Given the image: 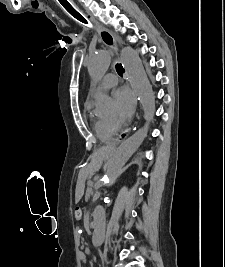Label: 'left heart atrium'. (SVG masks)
<instances>
[{
  "label": "left heart atrium",
  "mask_w": 225,
  "mask_h": 267,
  "mask_svg": "<svg viewBox=\"0 0 225 267\" xmlns=\"http://www.w3.org/2000/svg\"><path fill=\"white\" fill-rule=\"evenodd\" d=\"M114 99L117 107L116 119L118 123H123L131 116L134 109V97L131 91L122 87L114 92Z\"/></svg>",
  "instance_id": "39dd6f15"
}]
</instances>
